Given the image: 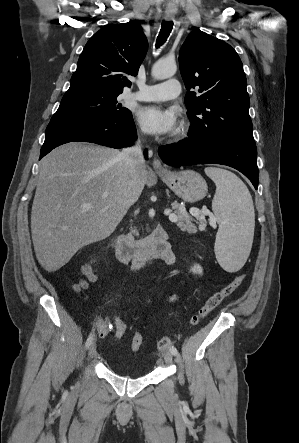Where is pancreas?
Wrapping results in <instances>:
<instances>
[{
    "mask_svg": "<svg viewBox=\"0 0 299 443\" xmlns=\"http://www.w3.org/2000/svg\"><path fill=\"white\" fill-rule=\"evenodd\" d=\"M172 208L174 209V213L177 216L176 224L177 227L180 228L182 231H186L190 234L196 233L199 230L205 229L206 221L203 219V215L196 213L194 220L181 206L177 203H174L172 205ZM194 212V211H193ZM199 224V227L195 224ZM138 232L135 228H132L130 233L128 234L129 237H132L133 235H137Z\"/></svg>",
    "mask_w": 299,
    "mask_h": 443,
    "instance_id": "cf45deb5",
    "label": "pancreas"
}]
</instances>
